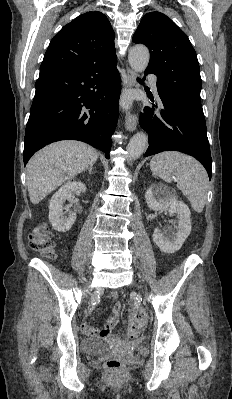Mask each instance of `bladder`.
Masks as SVG:
<instances>
[{"mask_svg": "<svg viewBox=\"0 0 232 399\" xmlns=\"http://www.w3.org/2000/svg\"><path fill=\"white\" fill-rule=\"evenodd\" d=\"M83 353L91 356H98L105 353L108 347L96 339H84L81 343Z\"/></svg>", "mask_w": 232, "mask_h": 399, "instance_id": "31cf9c89", "label": "bladder"}]
</instances>
